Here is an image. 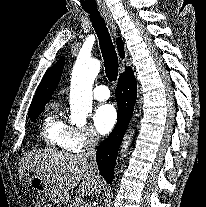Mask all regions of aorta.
Returning <instances> with one entry per match:
<instances>
[{
    "label": "aorta",
    "mask_w": 206,
    "mask_h": 207,
    "mask_svg": "<svg viewBox=\"0 0 206 207\" xmlns=\"http://www.w3.org/2000/svg\"><path fill=\"white\" fill-rule=\"evenodd\" d=\"M100 61L97 59L78 57L71 77L70 88V121L72 124L83 126L92 111V85L100 71ZM130 139V137H127ZM129 141H125L126 150Z\"/></svg>",
    "instance_id": "1"
}]
</instances>
